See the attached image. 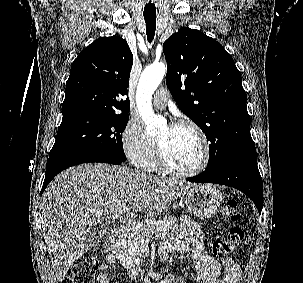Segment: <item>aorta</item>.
I'll return each mask as SVG.
<instances>
[{
  "label": "aorta",
  "mask_w": 303,
  "mask_h": 283,
  "mask_svg": "<svg viewBox=\"0 0 303 283\" xmlns=\"http://www.w3.org/2000/svg\"><path fill=\"white\" fill-rule=\"evenodd\" d=\"M166 73V65L155 63L145 68L140 77L136 103L140 116L146 124L148 135H154L165 124V120L154 114L152 109V95L161 83Z\"/></svg>",
  "instance_id": "1"
}]
</instances>
